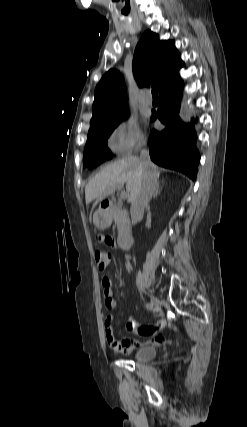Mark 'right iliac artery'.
<instances>
[{
  "mask_svg": "<svg viewBox=\"0 0 247 427\" xmlns=\"http://www.w3.org/2000/svg\"><path fill=\"white\" fill-rule=\"evenodd\" d=\"M146 308L150 310L152 308V304L151 303H147L146 304Z\"/></svg>",
  "mask_w": 247,
  "mask_h": 427,
  "instance_id": "right-iliac-artery-1",
  "label": "right iliac artery"
}]
</instances>
